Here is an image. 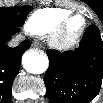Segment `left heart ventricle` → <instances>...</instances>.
I'll list each match as a JSON object with an SVG mask.
<instances>
[{
    "label": "left heart ventricle",
    "instance_id": "b2bd125f",
    "mask_svg": "<svg viewBox=\"0 0 103 103\" xmlns=\"http://www.w3.org/2000/svg\"><path fill=\"white\" fill-rule=\"evenodd\" d=\"M82 23H83V21H82L81 17L74 18L68 26V32L69 33L77 32L81 28Z\"/></svg>",
    "mask_w": 103,
    "mask_h": 103
}]
</instances>
